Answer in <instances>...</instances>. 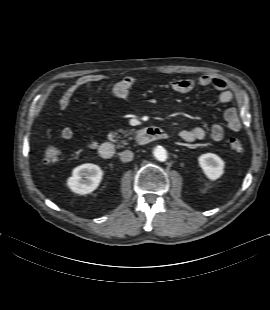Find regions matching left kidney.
<instances>
[{
  "mask_svg": "<svg viewBox=\"0 0 270 310\" xmlns=\"http://www.w3.org/2000/svg\"><path fill=\"white\" fill-rule=\"evenodd\" d=\"M198 162L204 174L210 180H216L224 173L225 162L216 154H202L199 156Z\"/></svg>",
  "mask_w": 270,
  "mask_h": 310,
  "instance_id": "obj_1",
  "label": "left kidney"
}]
</instances>
